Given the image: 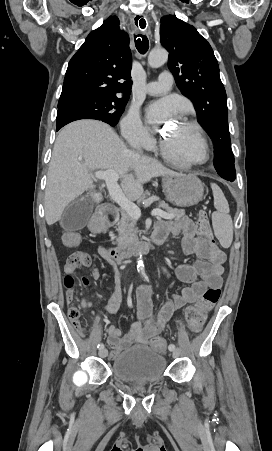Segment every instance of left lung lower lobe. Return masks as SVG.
<instances>
[{"label": "left lung lower lobe", "mask_w": 272, "mask_h": 451, "mask_svg": "<svg viewBox=\"0 0 272 451\" xmlns=\"http://www.w3.org/2000/svg\"><path fill=\"white\" fill-rule=\"evenodd\" d=\"M226 180H228V181H234L235 180V178H225Z\"/></svg>", "instance_id": "obj_1"}]
</instances>
